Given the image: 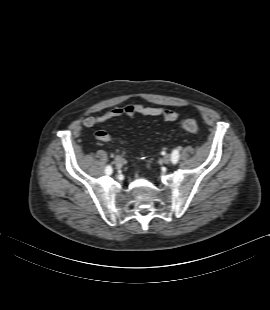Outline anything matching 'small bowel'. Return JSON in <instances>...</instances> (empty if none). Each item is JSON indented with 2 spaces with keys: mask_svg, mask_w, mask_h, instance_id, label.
<instances>
[{
  "mask_svg": "<svg viewBox=\"0 0 270 310\" xmlns=\"http://www.w3.org/2000/svg\"><path fill=\"white\" fill-rule=\"evenodd\" d=\"M136 115L147 116V117H162L166 122H173L178 119V113L169 108L162 107H151L145 106L141 103L128 104L122 107H115L109 109L101 116H89L83 120V125L87 128L102 125L111 119L120 117H134ZM95 138L101 142H108L116 140L111 134L106 131L99 130L95 133ZM124 143L125 141L119 140Z\"/></svg>",
  "mask_w": 270,
  "mask_h": 310,
  "instance_id": "small-bowel-1",
  "label": "small bowel"
}]
</instances>
